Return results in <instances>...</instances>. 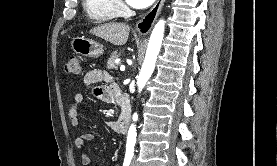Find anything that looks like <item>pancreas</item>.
<instances>
[{"label":"pancreas","instance_id":"pancreas-1","mask_svg":"<svg viewBox=\"0 0 277 166\" xmlns=\"http://www.w3.org/2000/svg\"><path fill=\"white\" fill-rule=\"evenodd\" d=\"M121 56V52H113L112 55L109 57L107 62V68L111 71H114L117 69L118 65L115 63V59L119 58Z\"/></svg>","mask_w":277,"mask_h":166}]
</instances>
